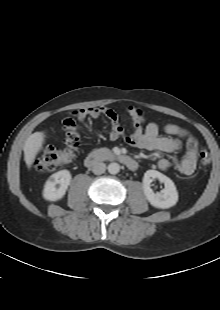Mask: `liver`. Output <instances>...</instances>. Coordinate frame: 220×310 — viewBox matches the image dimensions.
I'll list each match as a JSON object with an SVG mask.
<instances>
[{
  "mask_svg": "<svg viewBox=\"0 0 220 310\" xmlns=\"http://www.w3.org/2000/svg\"><path fill=\"white\" fill-rule=\"evenodd\" d=\"M45 140L44 132H35L31 134L24 145V160L30 169L37 154L41 150Z\"/></svg>",
  "mask_w": 220,
  "mask_h": 310,
  "instance_id": "liver-1",
  "label": "liver"
}]
</instances>
